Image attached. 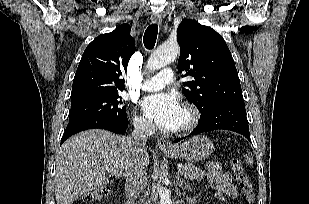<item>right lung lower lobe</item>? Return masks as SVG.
Instances as JSON below:
<instances>
[{
    "mask_svg": "<svg viewBox=\"0 0 309 204\" xmlns=\"http://www.w3.org/2000/svg\"><path fill=\"white\" fill-rule=\"evenodd\" d=\"M100 128L112 131L117 134H123L128 128L127 124H120L109 119L100 117H85L68 123L64 132L61 144L70 136L87 129Z\"/></svg>",
    "mask_w": 309,
    "mask_h": 204,
    "instance_id": "98d812e1",
    "label": "right lung lower lobe"
}]
</instances>
